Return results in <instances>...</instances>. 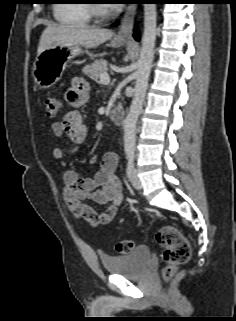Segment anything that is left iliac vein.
<instances>
[{
    "mask_svg": "<svg viewBox=\"0 0 236 321\" xmlns=\"http://www.w3.org/2000/svg\"><path fill=\"white\" fill-rule=\"evenodd\" d=\"M130 181L132 186L136 190H141L142 189V183L141 180L138 177L137 170L135 168L132 169L131 175H130Z\"/></svg>",
    "mask_w": 236,
    "mask_h": 321,
    "instance_id": "4c4485c4",
    "label": "left iliac vein"
}]
</instances>
